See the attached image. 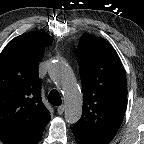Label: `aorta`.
<instances>
[{
  "label": "aorta",
  "instance_id": "aorta-1",
  "mask_svg": "<svg viewBox=\"0 0 144 144\" xmlns=\"http://www.w3.org/2000/svg\"><path fill=\"white\" fill-rule=\"evenodd\" d=\"M48 73L64 97L66 122H78L82 115V97L71 67L65 62L56 61L50 65Z\"/></svg>",
  "mask_w": 144,
  "mask_h": 144
}]
</instances>
